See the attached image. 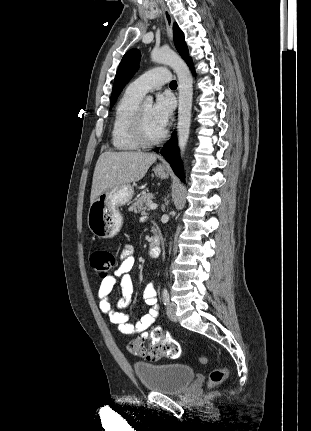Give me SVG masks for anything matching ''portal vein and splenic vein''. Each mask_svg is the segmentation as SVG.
I'll use <instances>...</instances> for the list:
<instances>
[{
  "mask_svg": "<svg viewBox=\"0 0 311 431\" xmlns=\"http://www.w3.org/2000/svg\"><path fill=\"white\" fill-rule=\"evenodd\" d=\"M148 208L149 210H156V208H158V204H149Z\"/></svg>",
  "mask_w": 311,
  "mask_h": 431,
  "instance_id": "18ae733b",
  "label": "portal vein and splenic vein"
}]
</instances>
